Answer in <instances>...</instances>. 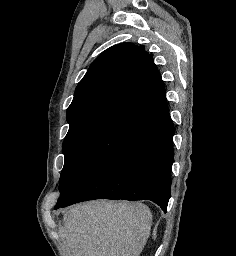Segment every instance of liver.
Masks as SVG:
<instances>
[{
    "instance_id": "obj_1",
    "label": "liver",
    "mask_w": 236,
    "mask_h": 256,
    "mask_svg": "<svg viewBox=\"0 0 236 256\" xmlns=\"http://www.w3.org/2000/svg\"><path fill=\"white\" fill-rule=\"evenodd\" d=\"M59 232L72 256H140L152 214L145 204L94 200L70 206Z\"/></svg>"
}]
</instances>
